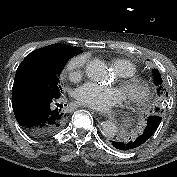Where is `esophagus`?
<instances>
[{
	"label": "esophagus",
	"mask_w": 177,
	"mask_h": 177,
	"mask_svg": "<svg viewBox=\"0 0 177 177\" xmlns=\"http://www.w3.org/2000/svg\"><path fill=\"white\" fill-rule=\"evenodd\" d=\"M100 117H101L102 119H104V120H107V119L109 118V114H108L107 112H102V113L100 114Z\"/></svg>",
	"instance_id": "1"
}]
</instances>
